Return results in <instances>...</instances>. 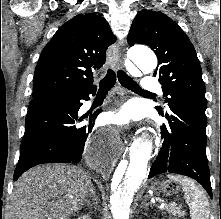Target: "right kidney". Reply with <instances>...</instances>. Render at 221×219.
Wrapping results in <instances>:
<instances>
[{"label":"right kidney","instance_id":"obj_1","mask_svg":"<svg viewBox=\"0 0 221 219\" xmlns=\"http://www.w3.org/2000/svg\"><path fill=\"white\" fill-rule=\"evenodd\" d=\"M78 219H88V216L83 215V216L79 217Z\"/></svg>","mask_w":221,"mask_h":219}]
</instances>
